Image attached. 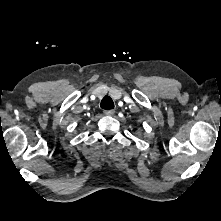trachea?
I'll list each match as a JSON object with an SVG mask.
<instances>
[{"label": "trachea", "mask_w": 221, "mask_h": 221, "mask_svg": "<svg viewBox=\"0 0 221 221\" xmlns=\"http://www.w3.org/2000/svg\"><path fill=\"white\" fill-rule=\"evenodd\" d=\"M102 109L110 110L114 108L113 100L109 96H105L100 104Z\"/></svg>", "instance_id": "3493384b"}]
</instances>
